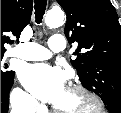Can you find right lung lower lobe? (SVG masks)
Returning <instances> with one entry per match:
<instances>
[{"label":"right lung lower lobe","mask_w":121,"mask_h":113,"mask_svg":"<svg viewBox=\"0 0 121 113\" xmlns=\"http://www.w3.org/2000/svg\"><path fill=\"white\" fill-rule=\"evenodd\" d=\"M13 80L14 74L10 78L1 79V113H7L8 111V98Z\"/></svg>","instance_id":"right-lung-lower-lobe-1"}]
</instances>
